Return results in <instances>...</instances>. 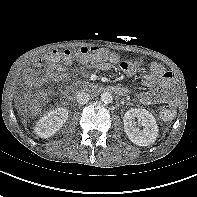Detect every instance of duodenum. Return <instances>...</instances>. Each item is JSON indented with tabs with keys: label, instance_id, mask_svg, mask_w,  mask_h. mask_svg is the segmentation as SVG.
<instances>
[{
	"label": "duodenum",
	"instance_id": "obj_1",
	"mask_svg": "<svg viewBox=\"0 0 197 197\" xmlns=\"http://www.w3.org/2000/svg\"><path fill=\"white\" fill-rule=\"evenodd\" d=\"M110 89L112 91H114L116 94L121 95V96H124V95L127 94V90L125 88H123V87L112 86V87H110Z\"/></svg>",
	"mask_w": 197,
	"mask_h": 197
}]
</instances>
